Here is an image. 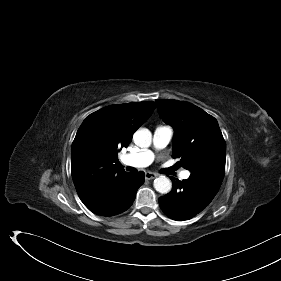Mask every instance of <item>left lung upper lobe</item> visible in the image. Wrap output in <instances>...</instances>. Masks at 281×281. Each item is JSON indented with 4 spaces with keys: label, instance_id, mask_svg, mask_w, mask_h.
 Returning <instances> with one entry per match:
<instances>
[{
    "label": "left lung upper lobe",
    "instance_id": "obj_1",
    "mask_svg": "<svg viewBox=\"0 0 281 281\" xmlns=\"http://www.w3.org/2000/svg\"><path fill=\"white\" fill-rule=\"evenodd\" d=\"M163 120L174 128L173 156L191 174L222 183L226 143L214 117L201 108L177 100H156Z\"/></svg>",
    "mask_w": 281,
    "mask_h": 281
}]
</instances>
